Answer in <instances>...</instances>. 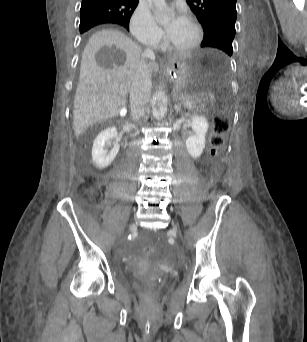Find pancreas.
I'll return each mask as SVG.
<instances>
[{"instance_id": "cf45deb5", "label": "pancreas", "mask_w": 307, "mask_h": 342, "mask_svg": "<svg viewBox=\"0 0 307 342\" xmlns=\"http://www.w3.org/2000/svg\"><path fill=\"white\" fill-rule=\"evenodd\" d=\"M202 101H203V100H202L201 97H196L195 100H192V101H191V99H190L189 97H186V98L184 99V102H185L186 104H189V103H190V105H191L192 107H195L197 104H201Z\"/></svg>"}]
</instances>
